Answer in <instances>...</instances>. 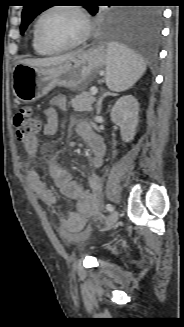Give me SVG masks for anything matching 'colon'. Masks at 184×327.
I'll list each match as a JSON object with an SVG mask.
<instances>
[{
    "label": "colon",
    "instance_id": "5ec220e1",
    "mask_svg": "<svg viewBox=\"0 0 184 327\" xmlns=\"http://www.w3.org/2000/svg\"><path fill=\"white\" fill-rule=\"evenodd\" d=\"M15 135L18 141L26 143L34 138L41 128L39 117L28 107L19 109L14 116ZM99 219V212L92 215Z\"/></svg>",
    "mask_w": 184,
    "mask_h": 327
}]
</instances>
